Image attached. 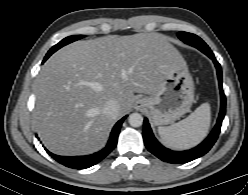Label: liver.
<instances>
[{"label": "liver", "instance_id": "1", "mask_svg": "<svg viewBox=\"0 0 248 195\" xmlns=\"http://www.w3.org/2000/svg\"><path fill=\"white\" fill-rule=\"evenodd\" d=\"M176 62L185 61L157 33L110 35L61 48L36 79L34 120L43 144L64 156L100 150L116 120L103 113L105 103L116 100L118 117L125 115L134 93H155Z\"/></svg>", "mask_w": 248, "mask_h": 195}]
</instances>
